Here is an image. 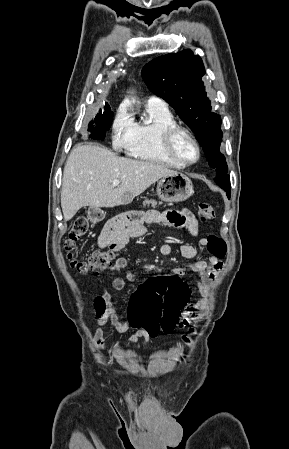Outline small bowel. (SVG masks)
<instances>
[{
    "label": "small bowel",
    "mask_w": 289,
    "mask_h": 449,
    "mask_svg": "<svg viewBox=\"0 0 289 449\" xmlns=\"http://www.w3.org/2000/svg\"><path fill=\"white\" fill-rule=\"evenodd\" d=\"M151 224H164L178 228L184 227L194 237H198L199 235L200 223L193 212L187 209L168 210L165 212L152 210L133 213L128 217H119L111 220L104 227L98 239V245L102 248L108 247L115 252H119L126 246L130 239L144 236L147 233L146 225ZM207 243V238H198V247L192 244H183L180 248L181 255L186 259H192L196 257L198 248H207ZM159 251L163 256H168L172 252V247L169 244H163L159 248ZM222 266V259L211 255L208 262L205 260H198L190 263L188 268L199 277L196 282L198 290L206 292L207 285L214 280L216 275L222 269ZM127 267L128 260L124 257H119L110 268L112 287L116 291L123 290L127 281L134 280V275L130 271L126 272L125 277L115 276L114 273L116 271L124 270ZM144 269L146 271H151L153 266L148 264L144 266ZM185 273V268L175 267L172 269L171 276L181 278ZM101 298L103 300V309L99 313L97 324L102 327L107 323H111L117 332H126L130 326L116 311L110 294L103 292ZM207 305V299L204 298L199 300L195 305L186 307L182 313V322L178 325V328L202 321L205 317ZM141 338L143 339V347H145L151 337L145 330L137 329L129 338L128 343L133 345ZM95 344L98 348H104L103 331L101 328H98L95 332Z\"/></svg>",
    "instance_id": "1"
}]
</instances>
